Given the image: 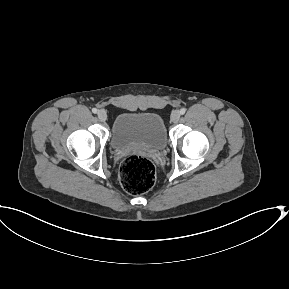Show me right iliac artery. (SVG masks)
Listing matches in <instances>:
<instances>
[{
  "mask_svg": "<svg viewBox=\"0 0 289 289\" xmlns=\"http://www.w3.org/2000/svg\"><path fill=\"white\" fill-rule=\"evenodd\" d=\"M92 112H93V113H97V109H96V108H93V109H92Z\"/></svg>",
  "mask_w": 289,
  "mask_h": 289,
  "instance_id": "obj_1",
  "label": "right iliac artery"
}]
</instances>
